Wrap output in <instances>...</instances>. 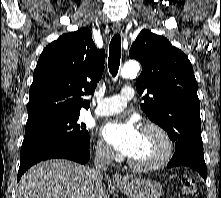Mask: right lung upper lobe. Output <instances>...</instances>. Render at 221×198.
Instances as JSON below:
<instances>
[{
  "label": "right lung upper lobe",
  "instance_id": "right-lung-upper-lobe-1",
  "mask_svg": "<svg viewBox=\"0 0 221 198\" xmlns=\"http://www.w3.org/2000/svg\"><path fill=\"white\" fill-rule=\"evenodd\" d=\"M105 51L95 47L89 29L63 34L40 55L29 90L28 121L53 114L80 113L100 80Z\"/></svg>",
  "mask_w": 221,
  "mask_h": 198
}]
</instances>
